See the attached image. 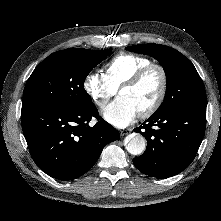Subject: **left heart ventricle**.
<instances>
[{"mask_svg": "<svg viewBox=\"0 0 221 221\" xmlns=\"http://www.w3.org/2000/svg\"><path fill=\"white\" fill-rule=\"evenodd\" d=\"M160 88L161 75L159 71L152 70L137 85L123 89L120 96L127 97L139 113L155 101Z\"/></svg>", "mask_w": 221, "mask_h": 221, "instance_id": "left-heart-ventricle-1", "label": "left heart ventricle"}]
</instances>
